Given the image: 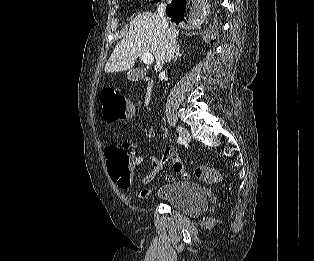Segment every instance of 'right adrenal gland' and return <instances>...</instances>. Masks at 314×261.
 Instances as JSON below:
<instances>
[{
  "label": "right adrenal gland",
  "instance_id": "right-adrenal-gland-1",
  "mask_svg": "<svg viewBox=\"0 0 314 261\" xmlns=\"http://www.w3.org/2000/svg\"><path fill=\"white\" fill-rule=\"evenodd\" d=\"M182 56V53H180V44H178L177 50H176V54L174 57V62H176L178 60L179 57Z\"/></svg>",
  "mask_w": 314,
  "mask_h": 261
}]
</instances>
